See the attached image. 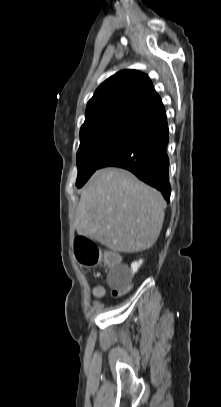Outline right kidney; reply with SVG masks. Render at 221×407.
Segmentation results:
<instances>
[{
	"mask_svg": "<svg viewBox=\"0 0 221 407\" xmlns=\"http://www.w3.org/2000/svg\"><path fill=\"white\" fill-rule=\"evenodd\" d=\"M142 263H143V261L140 259L139 261H135L131 264L132 275H134L138 271V269L140 268Z\"/></svg>",
	"mask_w": 221,
	"mask_h": 407,
	"instance_id": "obj_1",
	"label": "right kidney"
}]
</instances>
